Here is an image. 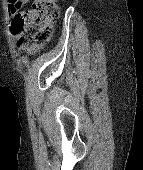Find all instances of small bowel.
I'll use <instances>...</instances> for the list:
<instances>
[{"label": "small bowel", "instance_id": "obj_1", "mask_svg": "<svg viewBox=\"0 0 143 170\" xmlns=\"http://www.w3.org/2000/svg\"><path fill=\"white\" fill-rule=\"evenodd\" d=\"M26 5V0H11L9 4L12 11L18 10ZM17 38H20V34L16 35Z\"/></svg>", "mask_w": 143, "mask_h": 170}]
</instances>
